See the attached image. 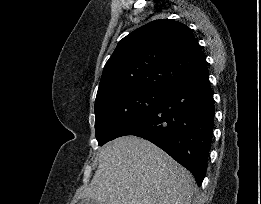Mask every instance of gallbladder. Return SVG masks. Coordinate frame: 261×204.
Returning <instances> with one entry per match:
<instances>
[{"label": "gallbladder", "instance_id": "obj_1", "mask_svg": "<svg viewBox=\"0 0 261 204\" xmlns=\"http://www.w3.org/2000/svg\"><path fill=\"white\" fill-rule=\"evenodd\" d=\"M78 204H99L93 199L85 198L82 199Z\"/></svg>", "mask_w": 261, "mask_h": 204}]
</instances>
